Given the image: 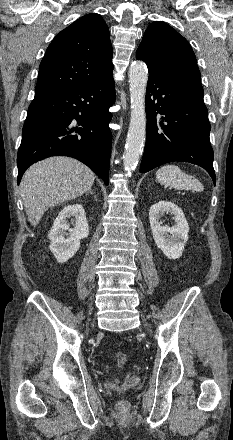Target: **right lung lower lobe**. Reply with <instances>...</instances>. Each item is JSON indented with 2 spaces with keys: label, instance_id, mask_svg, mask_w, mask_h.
I'll return each mask as SVG.
<instances>
[{
  "label": "right lung lower lobe",
  "instance_id": "98d812e1",
  "mask_svg": "<svg viewBox=\"0 0 233 440\" xmlns=\"http://www.w3.org/2000/svg\"><path fill=\"white\" fill-rule=\"evenodd\" d=\"M114 101L112 74L90 85L35 95L18 150V184L33 163L57 155L78 159L108 184Z\"/></svg>",
  "mask_w": 233,
  "mask_h": 440
}]
</instances>
